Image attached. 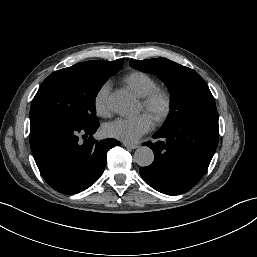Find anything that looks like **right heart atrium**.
Segmentation results:
<instances>
[{
    "mask_svg": "<svg viewBox=\"0 0 257 257\" xmlns=\"http://www.w3.org/2000/svg\"><path fill=\"white\" fill-rule=\"evenodd\" d=\"M111 82L106 81L97 90L94 96V108L98 115L106 116L110 112L109 94Z\"/></svg>",
    "mask_w": 257,
    "mask_h": 257,
    "instance_id": "obj_1",
    "label": "right heart atrium"
}]
</instances>
